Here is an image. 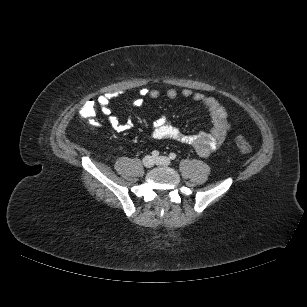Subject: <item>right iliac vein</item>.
Masks as SVG:
<instances>
[{"instance_id":"1","label":"right iliac vein","mask_w":307,"mask_h":307,"mask_svg":"<svg viewBox=\"0 0 307 307\" xmlns=\"http://www.w3.org/2000/svg\"><path fill=\"white\" fill-rule=\"evenodd\" d=\"M154 159L152 156L150 155H147L143 158V165L146 167V168H151L154 166Z\"/></svg>"}]
</instances>
